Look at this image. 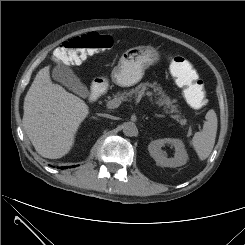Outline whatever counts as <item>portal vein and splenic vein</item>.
Wrapping results in <instances>:
<instances>
[{
    "label": "portal vein and splenic vein",
    "instance_id": "portal-vein-and-splenic-vein-1",
    "mask_svg": "<svg viewBox=\"0 0 245 245\" xmlns=\"http://www.w3.org/2000/svg\"><path fill=\"white\" fill-rule=\"evenodd\" d=\"M146 95L149 97V102H150V104H151L153 107H156L155 102H154V100H153V98H152V93H151V92H147ZM122 102H123V101H122L120 98H114V99L108 101L107 107H108V108H111V109H114V108L119 107V106L122 104Z\"/></svg>",
    "mask_w": 245,
    "mask_h": 245
}]
</instances>
